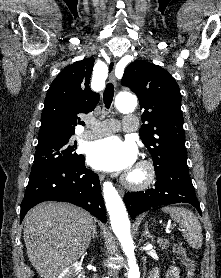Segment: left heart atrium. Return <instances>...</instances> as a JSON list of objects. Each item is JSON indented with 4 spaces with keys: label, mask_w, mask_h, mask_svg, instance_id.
Listing matches in <instances>:
<instances>
[{
    "label": "left heart atrium",
    "mask_w": 221,
    "mask_h": 278,
    "mask_svg": "<svg viewBox=\"0 0 221 278\" xmlns=\"http://www.w3.org/2000/svg\"><path fill=\"white\" fill-rule=\"evenodd\" d=\"M137 148L132 142L110 136L94 141L87 150L88 163L97 170L128 171L136 161Z\"/></svg>",
    "instance_id": "39dd6f15"
}]
</instances>
